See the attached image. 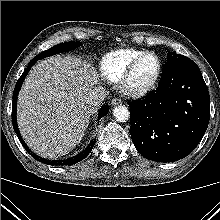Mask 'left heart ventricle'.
<instances>
[{
    "label": "left heart ventricle",
    "instance_id": "1",
    "mask_svg": "<svg viewBox=\"0 0 220 220\" xmlns=\"http://www.w3.org/2000/svg\"><path fill=\"white\" fill-rule=\"evenodd\" d=\"M157 68L156 58L153 56H146L136 67L132 76L131 83L135 86L146 84L154 75Z\"/></svg>",
    "mask_w": 220,
    "mask_h": 220
}]
</instances>
